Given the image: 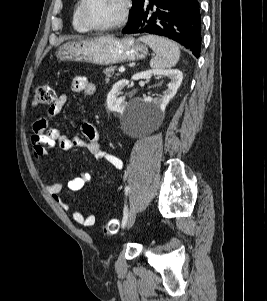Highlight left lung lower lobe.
<instances>
[{
  "mask_svg": "<svg viewBox=\"0 0 267 301\" xmlns=\"http://www.w3.org/2000/svg\"><path fill=\"white\" fill-rule=\"evenodd\" d=\"M124 34L149 33L168 37L198 58L201 48V17L198 0H145Z\"/></svg>",
  "mask_w": 267,
  "mask_h": 301,
  "instance_id": "1",
  "label": "left lung lower lobe"
}]
</instances>
